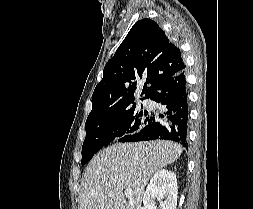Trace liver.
Masks as SVG:
<instances>
[{
    "mask_svg": "<svg viewBox=\"0 0 253 209\" xmlns=\"http://www.w3.org/2000/svg\"><path fill=\"white\" fill-rule=\"evenodd\" d=\"M181 152V145L165 140L117 143L105 148L86 168L80 209H141L151 176L175 162ZM125 188L133 191L128 201Z\"/></svg>",
    "mask_w": 253,
    "mask_h": 209,
    "instance_id": "6515ba94",
    "label": "liver"
}]
</instances>
